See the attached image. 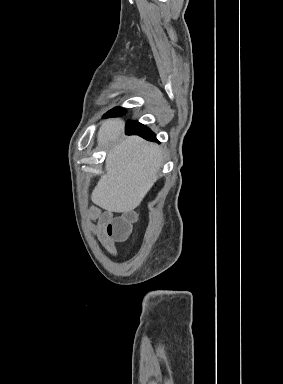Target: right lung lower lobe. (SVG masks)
Wrapping results in <instances>:
<instances>
[{"mask_svg":"<svg viewBox=\"0 0 283 384\" xmlns=\"http://www.w3.org/2000/svg\"><path fill=\"white\" fill-rule=\"evenodd\" d=\"M125 113V110L122 108H114L108 111L104 117H118L122 116ZM126 134L127 135H139L149 141H157L155 139V134L146 126L141 123L128 121L126 124Z\"/></svg>","mask_w":283,"mask_h":384,"instance_id":"1","label":"right lung lower lobe"}]
</instances>
